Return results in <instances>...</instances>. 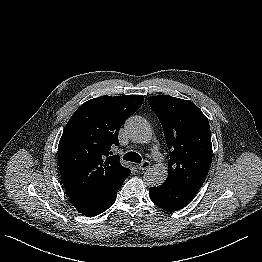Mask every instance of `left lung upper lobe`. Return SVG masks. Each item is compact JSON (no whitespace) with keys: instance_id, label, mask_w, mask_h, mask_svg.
<instances>
[{"instance_id":"left-lung-upper-lobe-1","label":"left lung upper lobe","mask_w":262,"mask_h":262,"mask_svg":"<svg viewBox=\"0 0 262 262\" xmlns=\"http://www.w3.org/2000/svg\"><path fill=\"white\" fill-rule=\"evenodd\" d=\"M169 149L166 182L197 192L212 162L208 119L191 101L168 95L148 97Z\"/></svg>"}]
</instances>
